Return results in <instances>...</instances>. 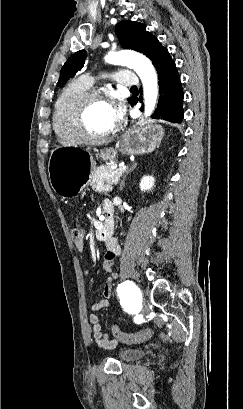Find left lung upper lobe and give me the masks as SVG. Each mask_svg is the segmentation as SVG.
Wrapping results in <instances>:
<instances>
[{"label":"left lung upper lobe","instance_id":"left-lung-upper-lobe-1","mask_svg":"<svg viewBox=\"0 0 243 409\" xmlns=\"http://www.w3.org/2000/svg\"><path fill=\"white\" fill-rule=\"evenodd\" d=\"M115 34L123 48L133 49L145 54L152 60L156 70L172 61L167 48L163 47L152 33L146 31L144 24L133 21H122L116 25ZM86 57L87 52L85 50H80L71 55L61 69L57 84H65L82 69ZM133 99V96L128 99L130 104Z\"/></svg>","mask_w":243,"mask_h":409}]
</instances>
